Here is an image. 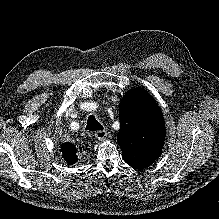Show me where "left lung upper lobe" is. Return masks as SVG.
Instances as JSON below:
<instances>
[{
  "label": "left lung upper lobe",
  "instance_id": "obj_1",
  "mask_svg": "<svg viewBox=\"0 0 219 219\" xmlns=\"http://www.w3.org/2000/svg\"><path fill=\"white\" fill-rule=\"evenodd\" d=\"M120 130L117 142L125 162L138 169L159 158L165 139V126L159 106L144 89L127 93L120 103Z\"/></svg>",
  "mask_w": 219,
  "mask_h": 219
}]
</instances>
